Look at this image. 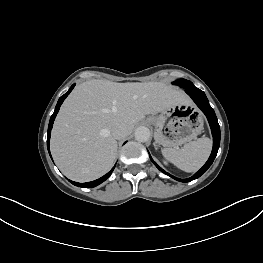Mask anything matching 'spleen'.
I'll list each match as a JSON object with an SVG mask.
<instances>
[{"mask_svg": "<svg viewBox=\"0 0 263 263\" xmlns=\"http://www.w3.org/2000/svg\"><path fill=\"white\" fill-rule=\"evenodd\" d=\"M212 148L209 138H199L185 144L181 149L164 148L163 156L185 172H195L207 161Z\"/></svg>", "mask_w": 263, "mask_h": 263, "instance_id": "1", "label": "spleen"}]
</instances>
